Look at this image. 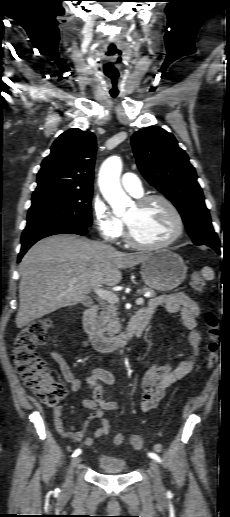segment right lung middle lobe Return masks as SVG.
<instances>
[{
    "label": "right lung middle lobe",
    "instance_id": "obj_1",
    "mask_svg": "<svg viewBox=\"0 0 230 517\" xmlns=\"http://www.w3.org/2000/svg\"><path fill=\"white\" fill-rule=\"evenodd\" d=\"M92 190L55 193L32 199L27 226L44 222H68L91 226Z\"/></svg>",
    "mask_w": 230,
    "mask_h": 517
}]
</instances>
